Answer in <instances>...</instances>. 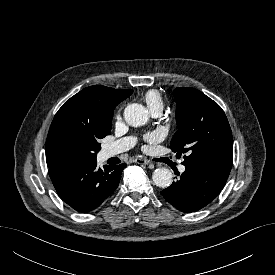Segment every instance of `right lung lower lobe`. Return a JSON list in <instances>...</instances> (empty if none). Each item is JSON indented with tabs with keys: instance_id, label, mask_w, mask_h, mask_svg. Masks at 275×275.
<instances>
[{
	"instance_id": "98d812e1",
	"label": "right lung lower lobe",
	"mask_w": 275,
	"mask_h": 275,
	"mask_svg": "<svg viewBox=\"0 0 275 275\" xmlns=\"http://www.w3.org/2000/svg\"><path fill=\"white\" fill-rule=\"evenodd\" d=\"M126 164L97 168V161L83 165H64L49 169L52 183L60 196L78 212L96 209L118 187Z\"/></svg>"
}]
</instances>
